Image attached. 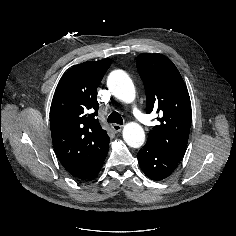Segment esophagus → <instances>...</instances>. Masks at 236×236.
<instances>
[{
  "label": "esophagus",
  "instance_id": "esophagus-1",
  "mask_svg": "<svg viewBox=\"0 0 236 236\" xmlns=\"http://www.w3.org/2000/svg\"><path fill=\"white\" fill-rule=\"evenodd\" d=\"M111 127L115 132H119V131H121L123 126L119 125V124H113Z\"/></svg>",
  "mask_w": 236,
  "mask_h": 236
}]
</instances>
